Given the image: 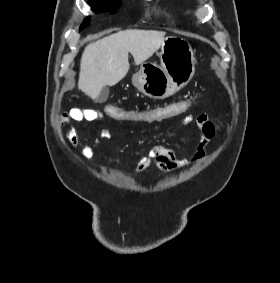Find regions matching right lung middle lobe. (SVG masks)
I'll list each match as a JSON object with an SVG mask.
<instances>
[{
    "mask_svg": "<svg viewBox=\"0 0 280 283\" xmlns=\"http://www.w3.org/2000/svg\"><path fill=\"white\" fill-rule=\"evenodd\" d=\"M89 5L96 13L110 11L113 14L118 10L121 5L120 0H89ZM89 25V17L85 18L84 22L80 26V30Z\"/></svg>",
    "mask_w": 280,
    "mask_h": 283,
    "instance_id": "dd1d6c3e",
    "label": "right lung middle lobe"
}]
</instances>
